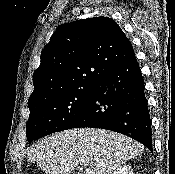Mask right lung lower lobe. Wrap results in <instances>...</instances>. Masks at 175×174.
<instances>
[{"label":"right lung lower lobe","instance_id":"obj_1","mask_svg":"<svg viewBox=\"0 0 175 174\" xmlns=\"http://www.w3.org/2000/svg\"><path fill=\"white\" fill-rule=\"evenodd\" d=\"M136 60L111 68L92 88L81 114L66 128H102L129 136L152 151L151 119Z\"/></svg>","mask_w":175,"mask_h":174}]
</instances>
